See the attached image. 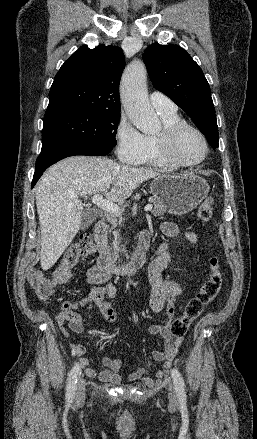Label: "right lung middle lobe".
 Wrapping results in <instances>:
<instances>
[{"label": "right lung middle lobe", "mask_w": 257, "mask_h": 439, "mask_svg": "<svg viewBox=\"0 0 257 439\" xmlns=\"http://www.w3.org/2000/svg\"><path fill=\"white\" fill-rule=\"evenodd\" d=\"M120 111L78 109L43 119L42 151L62 145L87 144L113 148Z\"/></svg>", "instance_id": "1"}]
</instances>
